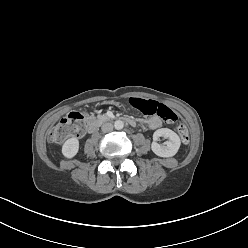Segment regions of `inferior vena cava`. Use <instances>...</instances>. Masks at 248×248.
<instances>
[{
  "instance_id": "inferior-vena-cava-1",
  "label": "inferior vena cava",
  "mask_w": 248,
  "mask_h": 248,
  "mask_svg": "<svg viewBox=\"0 0 248 248\" xmlns=\"http://www.w3.org/2000/svg\"><path fill=\"white\" fill-rule=\"evenodd\" d=\"M103 132H110L113 130V125L111 123H104L101 127Z\"/></svg>"
}]
</instances>
